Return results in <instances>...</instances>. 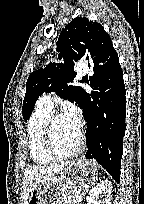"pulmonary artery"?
<instances>
[{"label":"pulmonary artery","instance_id":"1","mask_svg":"<svg viewBox=\"0 0 144 204\" xmlns=\"http://www.w3.org/2000/svg\"><path fill=\"white\" fill-rule=\"evenodd\" d=\"M79 71L81 73H86L87 69L86 68H79ZM53 99H54L53 93H44L39 97L38 104L52 110Z\"/></svg>","mask_w":144,"mask_h":204}]
</instances>
